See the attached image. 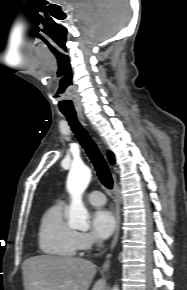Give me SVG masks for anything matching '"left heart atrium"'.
I'll list each match as a JSON object with an SVG mask.
<instances>
[{"label": "left heart atrium", "mask_w": 187, "mask_h": 290, "mask_svg": "<svg viewBox=\"0 0 187 290\" xmlns=\"http://www.w3.org/2000/svg\"><path fill=\"white\" fill-rule=\"evenodd\" d=\"M91 226L96 236L99 238H107L113 233L116 227V219L111 211L98 209L92 214Z\"/></svg>", "instance_id": "left-heart-atrium-1"}]
</instances>
